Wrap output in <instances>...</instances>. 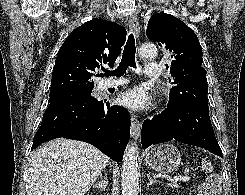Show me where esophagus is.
I'll list each match as a JSON object with an SVG mask.
<instances>
[{"label": "esophagus", "mask_w": 245, "mask_h": 195, "mask_svg": "<svg viewBox=\"0 0 245 195\" xmlns=\"http://www.w3.org/2000/svg\"><path fill=\"white\" fill-rule=\"evenodd\" d=\"M129 28L133 32L136 38L140 34V25L135 15H131L129 18ZM141 124L134 115H131V136L136 141L140 137Z\"/></svg>", "instance_id": "1"}]
</instances>
